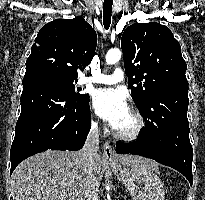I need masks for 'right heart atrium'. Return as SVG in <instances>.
I'll list each match as a JSON object with an SVG mask.
<instances>
[{
    "label": "right heart atrium",
    "mask_w": 205,
    "mask_h": 200,
    "mask_svg": "<svg viewBox=\"0 0 205 200\" xmlns=\"http://www.w3.org/2000/svg\"><path fill=\"white\" fill-rule=\"evenodd\" d=\"M91 125H92L93 128H96L98 126L97 120L96 119H92Z\"/></svg>",
    "instance_id": "right-heart-atrium-1"
}]
</instances>
